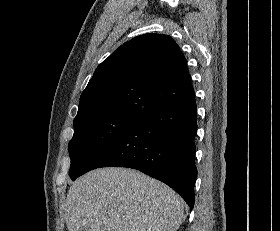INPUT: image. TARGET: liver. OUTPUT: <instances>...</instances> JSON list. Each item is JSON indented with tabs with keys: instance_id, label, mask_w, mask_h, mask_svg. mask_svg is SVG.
I'll use <instances>...</instances> for the list:
<instances>
[{
	"instance_id": "6515ba94",
	"label": "liver",
	"mask_w": 280,
	"mask_h": 231,
	"mask_svg": "<svg viewBox=\"0 0 280 231\" xmlns=\"http://www.w3.org/2000/svg\"><path fill=\"white\" fill-rule=\"evenodd\" d=\"M69 231H177L184 201L130 167H100L73 181L62 203Z\"/></svg>"
}]
</instances>
